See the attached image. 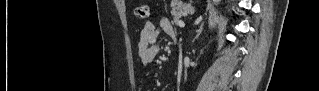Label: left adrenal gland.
I'll list each match as a JSON object with an SVG mask.
<instances>
[{
	"instance_id": "obj_1",
	"label": "left adrenal gland",
	"mask_w": 319,
	"mask_h": 91,
	"mask_svg": "<svg viewBox=\"0 0 319 91\" xmlns=\"http://www.w3.org/2000/svg\"><path fill=\"white\" fill-rule=\"evenodd\" d=\"M202 30H203V26H201V27L197 30V34H196L194 40L199 37V35L201 34Z\"/></svg>"
}]
</instances>
